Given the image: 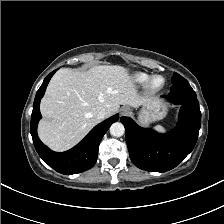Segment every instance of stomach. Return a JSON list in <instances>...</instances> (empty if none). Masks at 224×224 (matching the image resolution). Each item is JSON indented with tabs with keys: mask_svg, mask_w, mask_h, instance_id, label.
I'll use <instances>...</instances> for the list:
<instances>
[{
	"mask_svg": "<svg viewBox=\"0 0 224 224\" xmlns=\"http://www.w3.org/2000/svg\"><path fill=\"white\" fill-rule=\"evenodd\" d=\"M166 115V109L158 103L146 102L138 114V121L142 125H148L162 119Z\"/></svg>",
	"mask_w": 224,
	"mask_h": 224,
	"instance_id": "0dacf381",
	"label": "stomach"
}]
</instances>
